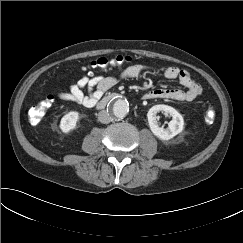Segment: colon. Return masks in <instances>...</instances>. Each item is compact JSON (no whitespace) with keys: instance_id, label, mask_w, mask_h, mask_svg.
Segmentation results:
<instances>
[{"instance_id":"5ec220e1","label":"colon","mask_w":243,"mask_h":243,"mask_svg":"<svg viewBox=\"0 0 243 243\" xmlns=\"http://www.w3.org/2000/svg\"><path fill=\"white\" fill-rule=\"evenodd\" d=\"M131 61V57L124 55H117L113 58L101 57L92 61L87 67L84 68L89 75L93 74L96 70H107L111 67L122 66ZM54 101L52 95H48L43 101L29 110L28 118L32 125H37L43 119L46 111L51 107ZM216 118V111L213 107H208L205 111V120L212 123Z\"/></svg>"}]
</instances>
